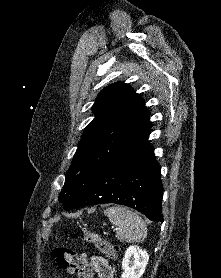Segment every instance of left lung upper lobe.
Segmentation results:
<instances>
[{
	"label": "left lung upper lobe",
	"instance_id": "left-lung-upper-lobe-1",
	"mask_svg": "<svg viewBox=\"0 0 221 278\" xmlns=\"http://www.w3.org/2000/svg\"><path fill=\"white\" fill-rule=\"evenodd\" d=\"M95 118L85 128L66 174L59 201L73 208L97 175L124 148L151 128L150 112L132 87L116 82L97 96Z\"/></svg>",
	"mask_w": 221,
	"mask_h": 278
}]
</instances>
